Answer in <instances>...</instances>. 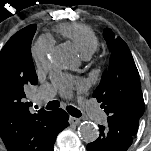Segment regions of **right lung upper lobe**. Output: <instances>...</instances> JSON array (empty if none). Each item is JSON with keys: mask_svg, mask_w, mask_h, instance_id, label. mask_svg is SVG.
<instances>
[{"mask_svg": "<svg viewBox=\"0 0 151 151\" xmlns=\"http://www.w3.org/2000/svg\"><path fill=\"white\" fill-rule=\"evenodd\" d=\"M37 82V75L21 86L0 79V135L8 151L51 150L47 128L51 112L32 113L26 101L27 87Z\"/></svg>", "mask_w": 151, "mask_h": 151, "instance_id": "1", "label": "right lung upper lobe"}]
</instances>
